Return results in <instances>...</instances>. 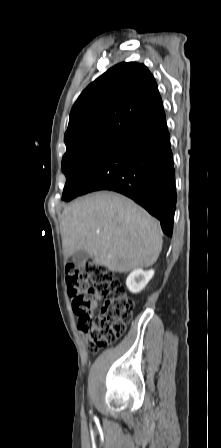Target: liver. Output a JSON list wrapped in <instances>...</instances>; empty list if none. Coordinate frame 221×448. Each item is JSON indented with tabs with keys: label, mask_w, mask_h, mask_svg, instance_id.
<instances>
[{
	"label": "liver",
	"mask_w": 221,
	"mask_h": 448,
	"mask_svg": "<svg viewBox=\"0 0 221 448\" xmlns=\"http://www.w3.org/2000/svg\"><path fill=\"white\" fill-rule=\"evenodd\" d=\"M61 235L66 257L86 250L99 265L119 273L153 265L162 249L160 223L131 199L108 191L66 207Z\"/></svg>",
	"instance_id": "liver-1"
}]
</instances>
